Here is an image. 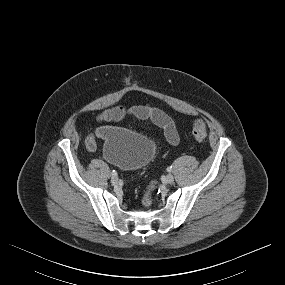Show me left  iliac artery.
Wrapping results in <instances>:
<instances>
[{"label": "left iliac artery", "instance_id": "obj_1", "mask_svg": "<svg viewBox=\"0 0 285 285\" xmlns=\"http://www.w3.org/2000/svg\"><path fill=\"white\" fill-rule=\"evenodd\" d=\"M167 171H168V172H171V171H172V166L168 167V168H167Z\"/></svg>", "mask_w": 285, "mask_h": 285}]
</instances>
